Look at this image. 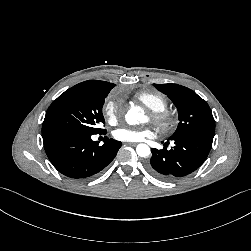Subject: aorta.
Instances as JSON below:
<instances>
[{"instance_id":"762f6f07","label":"aorta","mask_w":251,"mask_h":251,"mask_svg":"<svg viewBox=\"0 0 251 251\" xmlns=\"http://www.w3.org/2000/svg\"><path fill=\"white\" fill-rule=\"evenodd\" d=\"M145 118L144 111L139 106L131 107L125 115V119L129 125L138 124L139 122L144 121ZM136 152L140 157H148L151 153L150 147L146 144H138L136 147Z\"/></svg>"}]
</instances>
